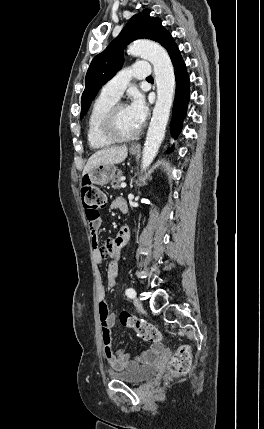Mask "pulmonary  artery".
<instances>
[{
  "instance_id": "pulmonary-artery-1",
  "label": "pulmonary artery",
  "mask_w": 264,
  "mask_h": 429,
  "mask_svg": "<svg viewBox=\"0 0 264 429\" xmlns=\"http://www.w3.org/2000/svg\"><path fill=\"white\" fill-rule=\"evenodd\" d=\"M151 75V67L148 62L141 61L121 70L115 77L109 80L101 90V94L118 100L132 78L145 79Z\"/></svg>"
}]
</instances>
